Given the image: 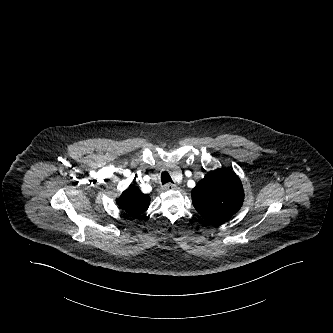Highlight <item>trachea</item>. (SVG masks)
Listing matches in <instances>:
<instances>
[{"mask_svg":"<svg viewBox=\"0 0 333 333\" xmlns=\"http://www.w3.org/2000/svg\"><path fill=\"white\" fill-rule=\"evenodd\" d=\"M161 181H162V184H165V183H168V182L173 183L172 178H171V176L169 175L168 172H163L161 174Z\"/></svg>","mask_w":333,"mask_h":333,"instance_id":"obj_1","label":"trachea"}]
</instances>
